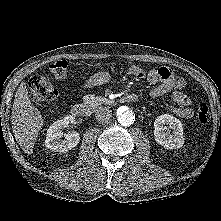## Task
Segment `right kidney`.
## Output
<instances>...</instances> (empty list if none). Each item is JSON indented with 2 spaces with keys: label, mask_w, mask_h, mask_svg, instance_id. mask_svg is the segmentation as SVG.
I'll return each instance as SVG.
<instances>
[{
  "label": "right kidney",
  "mask_w": 221,
  "mask_h": 221,
  "mask_svg": "<svg viewBox=\"0 0 221 221\" xmlns=\"http://www.w3.org/2000/svg\"><path fill=\"white\" fill-rule=\"evenodd\" d=\"M75 123V117L68 115L61 120L55 121L47 130L45 146L58 152H66L71 150L80 141V135L77 132H69L65 134L62 129L69 124Z\"/></svg>",
  "instance_id": "right-kidney-1"
}]
</instances>
